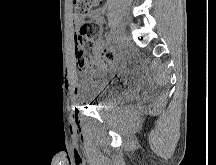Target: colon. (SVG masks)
Instances as JSON below:
<instances>
[{"instance_id": "obj_1", "label": "colon", "mask_w": 216, "mask_h": 165, "mask_svg": "<svg viewBox=\"0 0 216 165\" xmlns=\"http://www.w3.org/2000/svg\"><path fill=\"white\" fill-rule=\"evenodd\" d=\"M101 4L102 0H74L75 9L81 15V25L75 34L76 65L80 72L91 76L103 71L111 59L109 53L95 49L101 30L92 10Z\"/></svg>"}]
</instances>
